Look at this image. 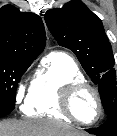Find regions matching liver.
I'll list each match as a JSON object with an SVG mask.
<instances>
[{"instance_id":"6515ba94","label":"liver","mask_w":117,"mask_h":136,"mask_svg":"<svg viewBox=\"0 0 117 136\" xmlns=\"http://www.w3.org/2000/svg\"><path fill=\"white\" fill-rule=\"evenodd\" d=\"M0 136H88L64 123L51 120H8L0 122Z\"/></svg>"}]
</instances>
